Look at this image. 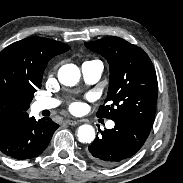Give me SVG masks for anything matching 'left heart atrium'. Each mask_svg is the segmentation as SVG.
<instances>
[{
    "label": "left heart atrium",
    "instance_id": "1",
    "mask_svg": "<svg viewBox=\"0 0 183 183\" xmlns=\"http://www.w3.org/2000/svg\"><path fill=\"white\" fill-rule=\"evenodd\" d=\"M80 107H81L80 103H78V102H73V103H71V105H70V110H71V111H77V110L80 109Z\"/></svg>",
    "mask_w": 183,
    "mask_h": 183
}]
</instances>
